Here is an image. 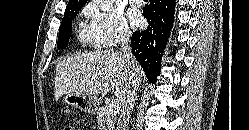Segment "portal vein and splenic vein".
Masks as SVG:
<instances>
[{
	"mask_svg": "<svg viewBox=\"0 0 249 130\" xmlns=\"http://www.w3.org/2000/svg\"><path fill=\"white\" fill-rule=\"evenodd\" d=\"M120 109L119 103L117 100L111 101L108 107V114H117Z\"/></svg>",
	"mask_w": 249,
	"mask_h": 130,
	"instance_id": "1",
	"label": "portal vein and splenic vein"
}]
</instances>
